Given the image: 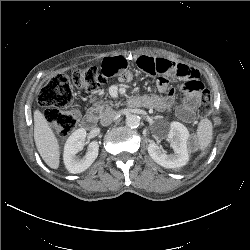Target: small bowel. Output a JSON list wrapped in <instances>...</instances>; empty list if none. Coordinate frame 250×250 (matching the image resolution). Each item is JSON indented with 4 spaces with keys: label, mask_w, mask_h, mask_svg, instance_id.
Returning <instances> with one entry per match:
<instances>
[{
    "label": "small bowel",
    "mask_w": 250,
    "mask_h": 250,
    "mask_svg": "<svg viewBox=\"0 0 250 250\" xmlns=\"http://www.w3.org/2000/svg\"><path fill=\"white\" fill-rule=\"evenodd\" d=\"M131 58L128 56L107 57L102 61L101 71L107 78L117 76L123 83L131 80L129 71ZM139 68L146 73L156 76L158 89L161 95L143 96L135 100L137 105L154 107L163 111L173 109L175 91L170 86L171 78L182 82V91L185 95L183 103L177 107V116L186 123L195 119V109L198 105L199 93L203 89L200 73L187 65L176 63L164 58L139 56L135 59Z\"/></svg>",
    "instance_id": "obj_1"
}]
</instances>
